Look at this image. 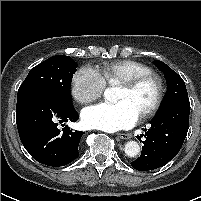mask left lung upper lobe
<instances>
[{
	"mask_svg": "<svg viewBox=\"0 0 201 201\" xmlns=\"http://www.w3.org/2000/svg\"><path fill=\"white\" fill-rule=\"evenodd\" d=\"M154 64L164 73L167 82V93L159 110L176 103H189L183 79L162 61H154Z\"/></svg>",
	"mask_w": 201,
	"mask_h": 201,
	"instance_id": "left-lung-upper-lobe-1",
	"label": "left lung upper lobe"
}]
</instances>
